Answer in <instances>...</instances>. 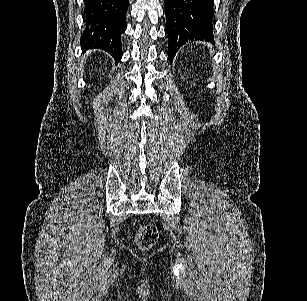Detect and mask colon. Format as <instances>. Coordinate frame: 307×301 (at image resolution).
<instances>
[{"mask_svg": "<svg viewBox=\"0 0 307 301\" xmlns=\"http://www.w3.org/2000/svg\"><path fill=\"white\" fill-rule=\"evenodd\" d=\"M158 239V230L153 224L142 225L136 234V244L141 250H148Z\"/></svg>", "mask_w": 307, "mask_h": 301, "instance_id": "1", "label": "colon"}]
</instances>
